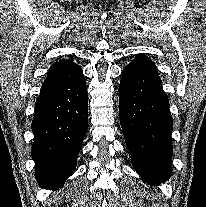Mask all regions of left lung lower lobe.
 I'll use <instances>...</instances> for the list:
<instances>
[{
  "label": "left lung lower lobe",
  "mask_w": 206,
  "mask_h": 207,
  "mask_svg": "<svg viewBox=\"0 0 206 207\" xmlns=\"http://www.w3.org/2000/svg\"><path fill=\"white\" fill-rule=\"evenodd\" d=\"M120 123L136 172L149 184L171 176L173 121L156 66L139 55L127 65L119 86Z\"/></svg>",
  "instance_id": "0a47b994"
}]
</instances>
